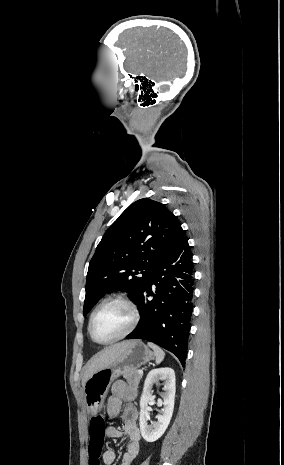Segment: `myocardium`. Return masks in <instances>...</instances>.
Returning a JSON list of instances; mask_svg holds the SVG:
<instances>
[{
  "label": "myocardium",
  "mask_w": 284,
  "mask_h": 465,
  "mask_svg": "<svg viewBox=\"0 0 284 465\" xmlns=\"http://www.w3.org/2000/svg\"><path fill=\"white\" fill-rule=\"evenodd\" d=\"M114 304L122 305V306L126 307L130 311L131 323H130L129 327L127 328V330L123 334H121L120 336H118V337H116V338H114L112 340H109V341H98L93 337V334H92V323H93L94 317L96 316V314L103 307L108 306V305H114ZM139 320H140V313H139L138 308L134 304V302H132L130 299H128L126 297H122V296L111 298V299H108V300L102 302L93 311V313L91 314V316L89 318V322H88V333H89V336H90L91 340L94 343L98 344V345L114 344V343H117V342L127 338L128 336H130L132 334V332L135 330V328L137 327V325L139 323Z\"/></svg>",
  "instance_id": "1"
}]
</instances>
